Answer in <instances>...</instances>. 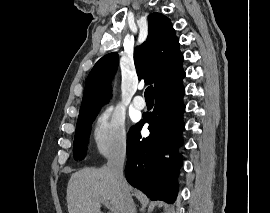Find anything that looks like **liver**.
Segmentation results:
<instances>
[{"mask_svg": "<svg viewBox=\"0 0 270 213\" xmlns=\"http://www.w3.org/2000/svg\"><path fill=\"white\" fill-rule=\"evenodd\" d=\"M129 187V186H128ZM68 213H102L100 200L122 213V192L108 167L84 168L73 173L67 186Z\"/></svg>", "mask_w": 270, "mask_h": 213, "instance_id": "obj_1", "label": "liver"}]
</instances>
